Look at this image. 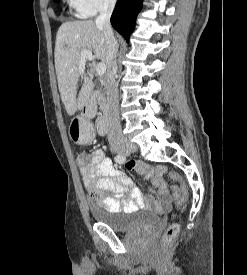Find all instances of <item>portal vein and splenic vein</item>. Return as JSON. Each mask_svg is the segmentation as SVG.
Masks as SVG:
<instances>
[{
  "mask_svg": "<svg viewBox=\"0 0 247 275\" xmlns=\"http://www.w3.org/2000/svg\"><path fill=\"white\" fill-rule=\"evenodd\" d=\"M80 57H81V64H80L79 69L81 71L84 70V65H85L86 61H92V62H94V56H93V54H92L91 51L83 50L81 52ZM105 72H106V66H105V64H103V63L97 64V66H96V73H97V75L102 76V75L105 74Z\"/></svg>",
  "mask_w": 247,
  "mask_h": 275,
  "instance_id": "18ae733b",
  "label": "portal vein and splenic vein"
}]
</instances>
